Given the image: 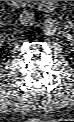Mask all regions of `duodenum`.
Listing matches in <instances>:
<instances>
[{
    "label": "duodenum",
    "instance_id": "1",
    "mask_svg": "<svg viewBox=\"0 0 74 122\" xmlns=\"http://www.w3.org/2000/svg\"><path fill=\"white\" fill-rule=\"evenodd\" d=\"M12 4L26 6V1H9ZM39 8L44 12H49L54 9V1H38Z\"/></svg>",
    "mask_w": 74,
    "mask_h": 122
}]
</instances>
